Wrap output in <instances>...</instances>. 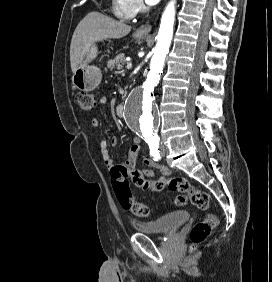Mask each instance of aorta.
I'll return each instance as SVG.
<instances>
[{"mask_svg": "<svg viewBox=\"0 0 272 282\" xmlns=\"http://www.w3.org/2000/svg\"><path fill=\"white\" fill-rule=\"evenodd\" d=\"M175 3L176 0H171L163 12L157 44L146 79L130 91L125 102L124 112L127 125L148 140H157L159 137V113L155 101V89L173 36Z\"/></svg>", "mask_w": 272, "mask_h": 282, "instance_id": "obj_1", "label": "aorta"}]
</instances>
